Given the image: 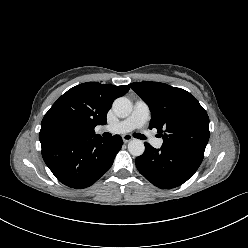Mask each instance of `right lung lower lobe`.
<instances>
[{"mask_svg": "<svg viewBox=\"0 0 248 248\" xmlns=\"http://www.w3.org/2000/svg\"><path fill=\"white\" fill-rule=\"evenodd\" d=\"M123 144L115 135L89 139L41 142L42 156L54 176L64 185L81 189L95 183L113 164Z\"/></svg>", "mask_w": 248, "mask_h": 248, "instance_id": "1", "label": "right lung lower lobe"}]
</instances>
